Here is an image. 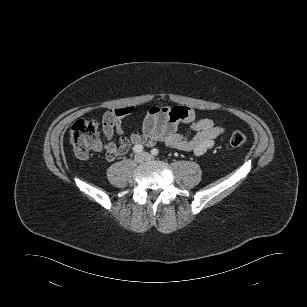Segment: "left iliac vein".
<instances>
[{
    "label": "left iliac vein",
    "mask_w": 307,
    "mask_h": 307,
    "mask_svg": "<svg viewBox=\"0 0 307 307\" xmlns=\"http://www.w3.org/2000/svg\"><path fill=\"white\" fill-rule=\"evenodd\" d=\"M142 154L145 156V160H147V161L153 159V157H152L149 153L144 152V153H142Z\"/></svg>",
    "instance_id": "obj_1"
}]
</instances>
